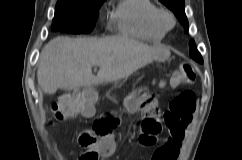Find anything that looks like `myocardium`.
I'll return each instance as SVG.
<instances>
[{
	"instance_id": "myocardium-1",
	"label": "myocardium",
	"mask_w": 242,
	"mask_h": 160,
	"mask_svg": "<svg viewBox=\"0 0 242 160\" xmlns=\"http://www.w3.org/2000/svg\"><path fill=\"white\" fill-rule=\"evenodd\" d=\"M155 21L165 31L172 29L176 23L174 15L167 9H159L156 13Z\"/></svg>"
}]
</instances>
